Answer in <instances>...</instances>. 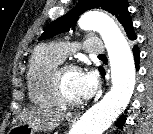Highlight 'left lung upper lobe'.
<instances>
[{"mask_svg":"<svg viewBox=\"0 0 153 134\" xmlns=\"http://www.w3.org/2000/svg\"><path fill=\"white\" fill-rule=\"evenodd\" d=\"M101 8L112 15H115L118 21L124 27L130 40L137 38L133 23L128 11L127 5L120 0H81L67 15L59 17L50 23L38 40L51 38L59 33L68 31L74 27L79 16L87 10Z\"/></svg>","mask_w":153,"mask_h":134,"instance_id":"5c2ea615","label":"left lung upper lobe"}]
</instances>
